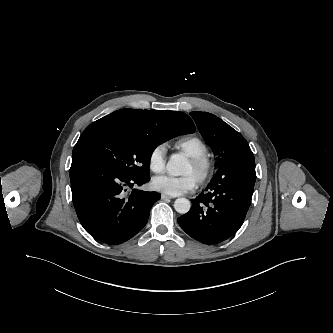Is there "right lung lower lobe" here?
I'll list each match as a JSON object with an SVG mask.
<instances>
[{"mask_svg": "<svg viewBox=\"0 0 333 333\" xmlns=\"http://www.w3.org/2000/svg\"><path fill=\"white\" fill-rule=\"evenodd\" d=\"M149 179L150 176L137 178L118 173L89 155H73L70 168L73 204L84 229L107 244H120L136 235L159 199L157 192L133 189ZM129 189H132L130 195Z\"/></svg>", "mask_w": 333, "mask_h": 333, "instance_id": "98d812e1", "label": "right lung lower lobe"}]
</instances>
